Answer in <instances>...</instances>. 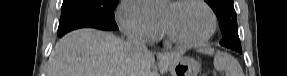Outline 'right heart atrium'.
Returning a JSON list of instances; mask_svg holds the SVG:
<instances>
[{
	"instance_id": "right-heart-atrium-1",
	"label": "right heart atrium",
	"mask_w": 287,
	"mask_h": 76,
	"mask_svg": "<svg viewBox=\"0 0 287 76\" xmlns=\"http://www.w3.org/2000/svg\"><path fill=\"white\" fill-rule=\"evenodd\" d=\"M117 22L121 30L129 37L143 42L154 41L160 34V23L147 16L139 3L124 0L117 13Z\"/></svg>"
}]
</instances>
